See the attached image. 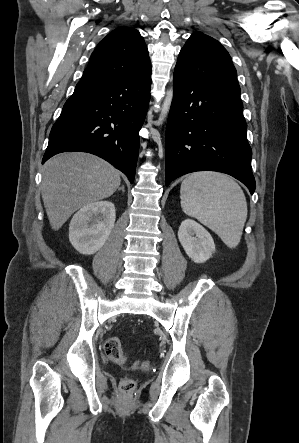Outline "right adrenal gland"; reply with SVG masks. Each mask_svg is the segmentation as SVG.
I'll return each mask as SVG.
<instances>
[{
    "instance_id": "1",
    "label": "right adrenal gland",
    "mask_w": 299,
    "mask_h": 443,
    "mask_svg": "<svg viewBox=\"0 0 299 443\" xmlns=\"http://www.w3.org/2000/svg\"><path fill=\"white\" fill-rule=\"evenodd\" d=\"M118 190H122V192H125L124 186H121Z\"/></svg>"
}]
</instances>
